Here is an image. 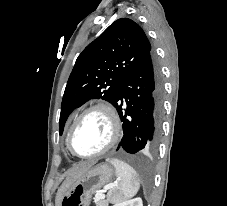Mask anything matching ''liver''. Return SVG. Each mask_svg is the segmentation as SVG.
<instances>
[{
  "mask_svg": "<svg viewBox=\"0 0 227 206\" xmlns=\"http://www.w3.org/2000/svg\"><path fill=\"white\" fill-rule=\"evenodd\" d=\"M94 163H84L71 171V173L66 177L65 181L59 188L56 195V205L60 206L65 195L68 194L70 188L77 181V179L82 176L86 171H88Z\"/></svg>",
  "mask_w": 227,
  "mask_h": 206,
  "instance_id": "liver-1",
  "label": "liver"
}]
</instances>
